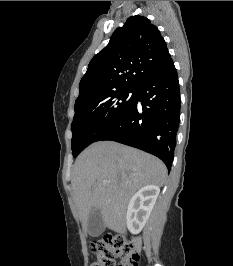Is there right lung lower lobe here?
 Segmentation results:
<instances>
[{
  "label": "right lung lower lobe",
  "mask_w": 233,
  "mask_h": 266,
  "mask_svg": "<svg viewBox=\"0 0 233 266\" xmlns=\"http://www.w3.org/2000/svg\"><path fill=\"white\" fill-rule=\"evenodd\" d=\"M180 92L173 61L143 82L131 107L96 141L111 140L160 158L171 168L179 127Z\"/></svg>",
  "instance_id": "98d812e1"
}]
</instances>
